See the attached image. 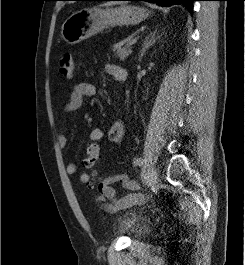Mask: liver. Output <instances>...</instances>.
Segmentation results:
<instances>
[{
    "label": "liver",
    "mask_w": 245,
    "mask_h": 265,
    "mask_svg": "<svg viewBox=\"0 0 245 265\" xmlns=\"http://www.w3.org/2000/svg\"><path fill=\"white\" fill-rule=\"evenodd\" d=\"M106 5H112V3H108V4H106Z\"/></svg>",
    "instance_id": "obj_1"
}]
</instances>
